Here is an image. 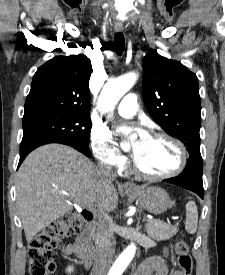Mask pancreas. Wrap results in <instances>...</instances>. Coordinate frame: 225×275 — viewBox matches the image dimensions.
<instances>
[{
	"label": "pancreas",
	"mask_w": 225,
	"mask_h": 275,
	"mask_svg": "<svg viewBox=\"0 0 225 275\" xmlns=\"http://www.w3.org/2000/svg\"><path fill=\"white\" fill-rule=\"evenodd\" d=\"M146 232L155 241L168 240L178 232L176 225L167 224L161 220H147Z\"/></svg>",
	"instance_id": "obj_1"
}]
</instances>
